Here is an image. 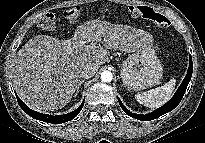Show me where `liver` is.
<instances>
[{"instance_id": "1", "label": "liver", "mask_w": 205, "mask_h": 143, "mask_svg": "<svg viewBox=\"0 0 205 143\" xmlns=\"http://www.w3.org/2000/svg\"><path fill=\"white\" fill-rule=\"evenodd\" d=\"M152 45L153 36L144 30L98 19L79 25L68 40L37 35L13 57L12 84L33 110H56L72 99L83 67L109 61V49L131 53Z\"/></svg>"}]
</instances>
